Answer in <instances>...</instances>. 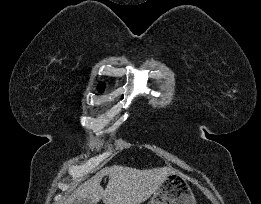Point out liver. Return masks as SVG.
Listing matches in <instances>:
<instances>
[{"label": "liver", "mask_w": 261, "mask_h": 204, "mask_svg": "<svg viewBox=\"0 0 261 204\" xmlns=\"http://www.w3.org/2000/svg\"><path fill=\"white\" fill-rule=\"evenodd\" d=\"M173 172L171 167L139 170L114 165L99 171L91 179L81 184L63 204H73L76 199L87 198L95 204H141L146 201ZM109 181L104 190L100 182L104 176Z\"/></svg>", "instance_id": "obj_1"}]
</instances>
